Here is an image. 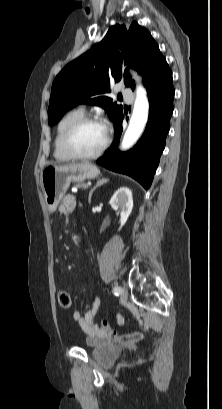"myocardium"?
Listing matches in <instances>:
<instances>
[{"label":"myocardium","mask_w":222,"mask_h":409,"mask_svg":"<svg viewBox=\"0 0 222 409\" xmlns=\"http://www.w3.org/2000/svg\"><path fill=\"white\" fill-rule=\"evenodd\" d=\"M88 123H99L103 125L106 129V137H105L104 143L99 148V150L91 154H81V153H78L76 150H74V148L72 147V138L74 134L78 131V129H80L82 126ZM110 142H111V132L109 128L107 127L106 123L100 117L89 115V116H83L82 118L78 119L67 129L63 137V148L65 152L72 159L90 160V159H96L100 157L104 153V151L108 148Z\"/></svg>","instance_id":"myocardium-1"}]
</instances>
